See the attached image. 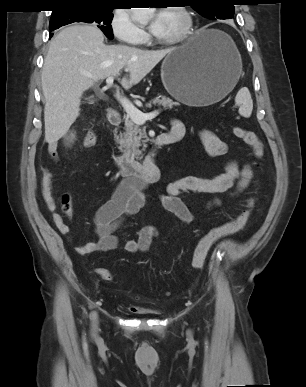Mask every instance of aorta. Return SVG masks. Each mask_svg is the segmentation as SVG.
I'll use <instances>...</instances> for the list:
<instances>
[{"label":"aorta","mask_w":306,"mask_h":387,"mask_svg":"<svg viewBox=\"0 0 306 387\" xmlns=\"http://www.w3.org/2000/svg\"><path fill=\"white\" fill-rule=\"evenodd\" d=\"M154 12V8H131L132 19L136 22L143 23Z\"/></svg>","instance_id":"762f6f07"}]
</instances>
